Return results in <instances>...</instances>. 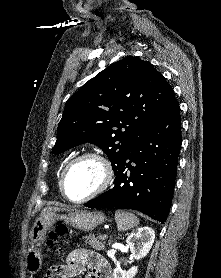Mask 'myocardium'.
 <instances>
[{
	"mask_svg": "<svg viewBox=\"0 0 221 278\" xmlns=\"http://www.w3.org/2000/svg\"><path fill=\"white\" fill-rule=\"evenodd\" d=\"M85 159H92L95 160L101 167L102 170V178L98 184V186L88 195L84 196L81 199H71L66 193V179L70 168L77 163L78 161L85 160ZM114 176V171L112 168L111 163L101 154L96 152H83L75 157H73L64 167L61 178H60V190L63 197L68 200L69 202L80 204L89 201L90 199L100 195L104 192L109 185L112 183Z\"/></svg>",
	"mask_w": 221,
	"mask_h": 278,
	"instance_id": "obj_1",
	"label": "myocardium"
}]
</instances>
